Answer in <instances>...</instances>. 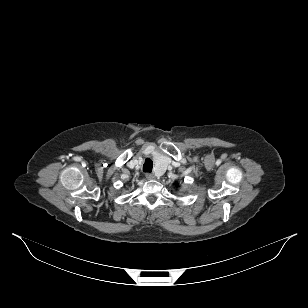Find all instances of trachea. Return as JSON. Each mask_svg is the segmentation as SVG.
Instances as JSON below:
<instances>
[{"label":"trachea","mask_w":308,"mask_h":308,"mask_svg":"<svg viewBox=\"0 0 308 308\" xmlns=\"http://www.w3.org/2000/svg\"><path fill=\"white\" fill-rule=\"evenodd\" d=\"M153 168V161L150 158H146L145 163L143 165V171L150 173Z\"/></svg>","instance_id":"obj_1"}]
</instances>
